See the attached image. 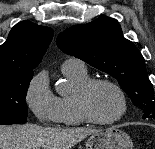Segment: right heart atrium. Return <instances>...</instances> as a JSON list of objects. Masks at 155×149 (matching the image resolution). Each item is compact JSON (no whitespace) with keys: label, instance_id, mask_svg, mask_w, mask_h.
<instances>
[{"label":"right heart atrium","instance_id":"obj_1","mask_svg":"<svg viewBox=\"0 0 155 149\" xmlns=\"http://www.w3.org/2000/svg\"><path fill=\"white\" fill-rule=\"evenodd\" d=\"M25 101L40 122H57L58 97L51 91L45 71L32 78L26 90Z\"/></svg>","mask_w":155,"mask_h":149}]
</instances>
